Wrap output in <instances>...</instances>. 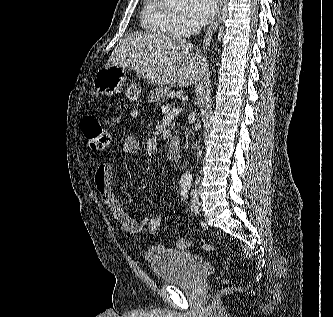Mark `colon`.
Here are the masks:
<instances>
[{"label": "colon", "instance_id": "colon-1", "mask_svg": "<svg viewBox=\"0 0 333 317\" xmlns=\"http://www.w3.org/2000/svg\"><path fill=\"white\" fill-rule=\"evenodd\" d=\"M81 130L87 139L88 145L92 150L100 151L105 149L110 143V137L107 130L102 126L99 119L95 116H86L81 121ZM162 213L158 212L152 216L148 222L149 231L154 234L160 228ZM176 247L181 250L193 247V244L186 239L179 238L176 240ZM202 250L217 251V248L211 244L200 246Z\"/></svg>", "mask_w": 333, "mask_h": 317}]
</instances>
